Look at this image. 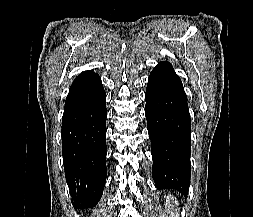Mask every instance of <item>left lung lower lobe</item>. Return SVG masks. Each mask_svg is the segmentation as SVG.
<instances>
[{"instance_id": "0a47b994", "label": "left lung lower lobe", "mask_w": 253, "mask_h": 217, "mask_svg": "<svg viewBox=\"0 0 253 217\" xmlns=\"http://www.w3.org/2000/svg\"><path fill=\"white\" fill-rule=\"evenodd\" d=\"M145 100L155 186L176 189L187 196L191 119L181 79L169 62H160L151 72Z\"/></svg>"}]
</instances>
